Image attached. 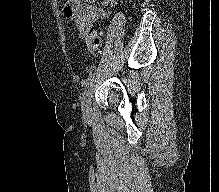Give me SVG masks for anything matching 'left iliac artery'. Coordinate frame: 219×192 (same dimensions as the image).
Returning <instances> with one entry per match:
<instances>
[{
  "label": "left iliac artery",
  "instance_id": "obj_1",
  "mask_svg": "<svg viewBox=\"0 0 219 192\" xmlns=\"http://www.w3.org/2000/svg\"><path fill=\"white\" fill-rule=\"evenodd\" d=\"M94 81V75H90L85 81H84V86L85 89L88 90L89 86L93 83Z\"/></svg>",
  "mask_w": 219,
  "mask_h": 192
}]
</instances>
